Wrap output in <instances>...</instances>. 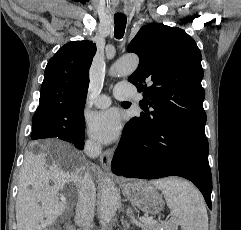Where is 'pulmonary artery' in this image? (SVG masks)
<instances>
[{
  "mask_svg": "<svg viewBox=\"0 0 241 230\" xmlns=\"http://www.w3.org/2000/svg\"><path fill=\"white\" fill-rule=\"evenodd\" d=\"M135 92V88L131 83H119L114 89V96L120 100L135 99ZM110 103V97L106 95H100L94 101L95 106L98 108H106Z\"/></svg>",
  "mask_w": 241,
  "mask_h": 230,
  "instance_id": "e3ab8cb5",
  "label": "pulmonary artery"
}]
</instances>
